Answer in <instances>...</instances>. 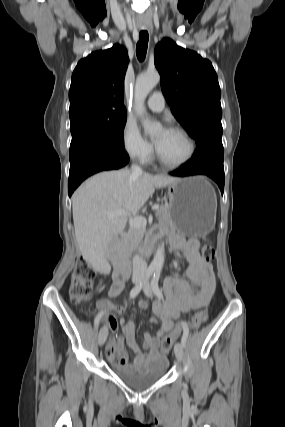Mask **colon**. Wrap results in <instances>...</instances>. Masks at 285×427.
Returning a JSON list of instances; mask_svg holds the SVG:
<instances>
[{"label":"colon","instance_id":"1","mask_svg":"<svg viewBox=\"0 0 285 427\" xmlns=\"http://www.w3.org/2000/svg\"><path fill=\"white\" fill-rule=\"evenodd\" d=\"M203 259L209 261L215 257V250L213 246L206 243L202 246ZM97 277L96 271L90 266L86 260H79L71 274L69 285V298L72 303L80 304L90 299L95 289V279ZM205 319V310L196 312L191 320L190 327L192 329L198 328ZM182 330L188 331L186 324L177 326L169 335H167L161 344L163 352L167 353L171 350L173 340L180 336ZM115 360L119 361L120 356L115 354Z\"/></svg>","mask_w":285,"mask_h":427}]
</instances>
